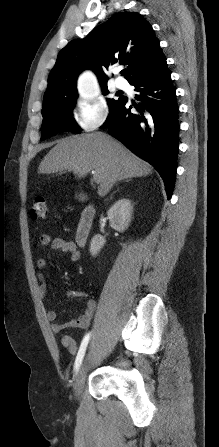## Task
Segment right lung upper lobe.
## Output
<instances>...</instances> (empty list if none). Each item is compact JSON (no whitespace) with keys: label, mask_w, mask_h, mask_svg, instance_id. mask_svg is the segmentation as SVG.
I'll return each mask as SVG.
<instances>
[{"label":"right lung upper lobe","mask_w":219,"mask_h":447,"mask_svg":"<svg viewBox=\"0 0 219 447\" xmlns=\"http://www.w3.org/2000/svg\"><path fill=\"white\" fill-rule=\"evenodd\" d=\"M160 42L149 22L137 12H120L96 27L85 38L69 42L58 54L48 78L44 99L76 95V79L89 68L102 86L108 77L102 67L127 64L124 75L130 84L155 72L164 62Z\"/></svg>","instance_id":"1"}]
</instances>
